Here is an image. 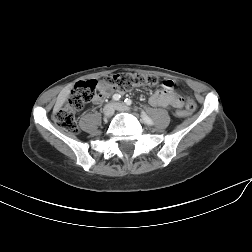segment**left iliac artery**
Returning a JSON list of instances; mask_svg holds the SVG:
<instances>
[{
	"label": "left iliac artery",
	"instance_id": "1",
	"mask_svg": "<svg viewBox=\"0 0 252 252\" xmlns=\"http://www.w3.org/2000/svg\"><path fill=\"white\" fill-rule=\"evenodd\" d=\"M124 102L126 103V105H131L132 104V100L128 99V98H126ZM141 117H142L143 121L147 125H152L153 124L152 119L145 112H143V111L141 112Z\"/></svg>",
	"mask_w": 252,
	"mask_h": 252
}]
</instances>
